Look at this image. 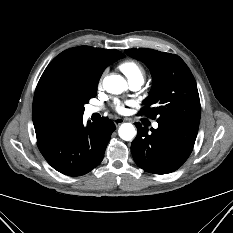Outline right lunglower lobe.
Here are the masks:
<instances>
[{"instance_id":"1","label":"right lung lower lobe","mask_w":233,"mask_h":233,"mask_svg":"<svg viewBox=\"0 0 233 233\" xmlns=\"http://www.w3.org/2000/svg\"><path fill=\"white\" fill-rule=\"evenodd\" d=\"M115 128L108 118L100 122H88L84 127L81 117L37 138V145L54 169L65 175L80 176L102 161Z\"/></svg>"}]
</instances>
